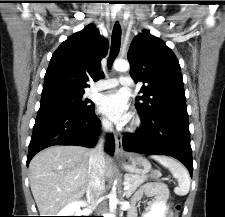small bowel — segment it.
<instances>
[{"label":"small bowel","mask_w":225,"mask_h":217,"mask_svg":"<svg viewBox=\"0 0 225 217\" xmlns=\"http://www.w3.org/2000/svg\"><path fill=\"white\" fill-rule=\"evenodd\" d=\"M166 193V187L160 182H149L140 187L133 195L131 202L133 205H137L146 197H153L154 200L152 205L160 202ZM129 217H136L135 210H131ZM168 217H173L172 214H169Z\"/></svg>","instance_id":"obj_1"}]
</instances>
